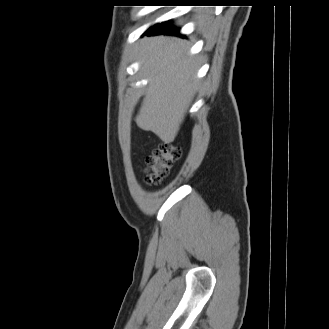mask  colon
Wrapping results in <instances>:
<instances>
[{
	"instance_id": "5ec220e1",
	"label": "colon",
	"mask_w": 329,
	"mask_h": 329,
	"mask_svg": "<svg viewBox=\"0 0 329 329\" xmlns=\"http://www.w3.org/2000/svg\"><path fill=\"white\" fill-rule=\"evenodd\" d=\"M182 149L171 142H163L146 159L145 182L148 185H158L169 175L172 165L180 159Z\"/></svg>"
}]
</instances>
